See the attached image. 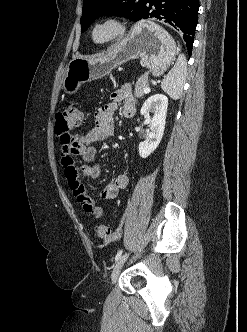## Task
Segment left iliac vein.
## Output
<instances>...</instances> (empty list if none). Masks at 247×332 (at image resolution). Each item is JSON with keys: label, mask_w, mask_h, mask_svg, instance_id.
Returning <instances> with one entry per match:
<instances>
[{"label": "left iliac vein", "mask_w": 247, "mask_h": 332, "mask_svg": "<svg viewBox=\"0 0 247 332\" xmlns=\"http://www.w3.org/2000/svg\"><path fill=\"white\" fill-rule=\"evenodd\" d=\"M129 254L125 253L123 254L119 260L117 261V263L115 264V267L112 271V275H111V280H112V283H116L117 279H118V276L120 274V271L125 263V261L127 260Z\"/></svg>", "instance_id": "4c4485c4"}]
</instances>
